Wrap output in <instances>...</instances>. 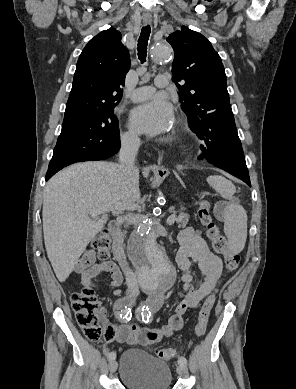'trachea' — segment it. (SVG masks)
<instances>
[{
	"label": "trachea",
	"instance_id": "trachea-1",
	"mask_svg": "<svg viewBox=\"0 0 296 389\" xmlns=\"http://www.w3.org/2000/svg\"><path fill=\"white\" fill-rule=\"evenodd\" d=\"M150 32H151V28L149 25L143 27L140 37L138 39L137 50H138V57L141 63H144L146 61L147 45H148Z\"/></svg>",
	"mask_w": 296,
	"mask_h": 389
}]
</instances>
